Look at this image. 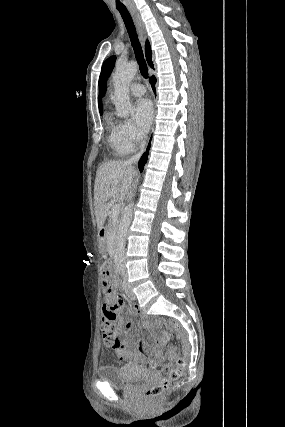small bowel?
<instances>
[{"label": "small bowel", "instance_id": "small-bowel-1", "mask_svg": "<svg viewBox=\"0 0 285 427\" xmlns=\"http://www.w3.org/2000/svg\"><path fill=\"white\" fill-rule=\"evenodd\" d=\"M115 309L117 311V316H116V325L119 327L124 326V339L122 341L123 344V350L119 353L116 354V357L120 360V361H127V362H137L140 360L144 359V353H142L138 347L136 342L132 339L131 337V327L133 325V321L132 322H128L125 324V319H124V312L122 311L123 307L128 304V299L126 296H124L123 294H119L117 295L116 299H115ZM132 313H136L135 309L132 308L131 309ZM103 323L105 322V309L103 307ZM125 324V325H124Z\"/></svg>", "mask_w": 285, "mask_h": 427}]
</instances>
